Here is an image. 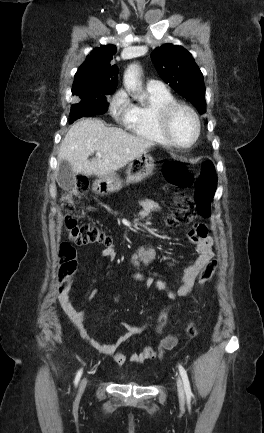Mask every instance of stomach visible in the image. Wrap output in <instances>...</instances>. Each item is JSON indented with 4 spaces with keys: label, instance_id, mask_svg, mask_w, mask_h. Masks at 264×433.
<instances>
[{
    "label": "stomach",
    "instance_id": "stomach-1",
    "mask_svg": "<svg viewBox=\"0 0 264 433\" xmlns=\"http://www.w3.org/2000/svg\"><path fill=\"white\" fill-rule=\"evenodd\" d=\"M154 166L153 157L146 153L136 158L128 166L126 184L138 183L152 175ZM123 186V181L118 176L112 175L96 180L93 184V190L97 194L106 195L119 191Z\"/></svg>",
    "mask_w": 264,
    "mask_h": 433
}]
</instances>
